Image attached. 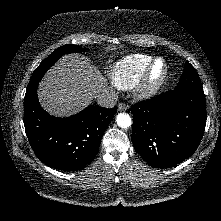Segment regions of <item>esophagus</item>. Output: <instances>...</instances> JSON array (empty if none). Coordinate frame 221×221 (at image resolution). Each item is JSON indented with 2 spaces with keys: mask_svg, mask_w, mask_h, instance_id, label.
<instances>
[{
  "mask_svg": "<svg viewBox=\"0 0 221 221\" xmlns=\"http://www.w3.org/2000/svg\"><path fill=\"white\" fill-rule=\"evenodd\" d=\"M127 108H128L127 105L124 104V103H119V104H118V110H119V111H126Z\"/></svg>",
  "mask_w": 221,
  "mask_h": 221,
  "instance_id": "obj_1",
  "label": "esophagus"
}]
</instances>
